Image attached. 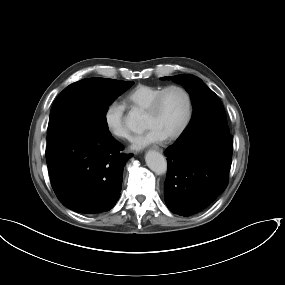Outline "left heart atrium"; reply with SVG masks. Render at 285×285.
<instances>
[{
	"label": "left heart atrium",
	"mask_w": 285,
	"mask_h": 285,
	"mask_svg": "<svg viewBox=\"0 0 285 285\" xmlns=\"http://www.w3.org/2000/svg\"><path fill=\"white\" fill-rule=\"evenodd\" d=\"M162 139H164V136L160 132L156 129L150 128L145 134L134 139L132 148L139 150L151 143L161 141Z\"/></svg>",
	"instance_id": "39dd6f15"
}]
</instances>
